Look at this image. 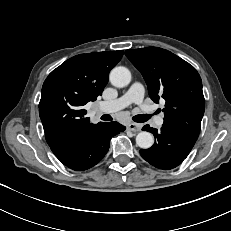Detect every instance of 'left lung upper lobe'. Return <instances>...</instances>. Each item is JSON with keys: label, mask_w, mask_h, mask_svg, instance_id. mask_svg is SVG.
<instances>
[{"label": "left lung upper lobe", "mask_w": 231, "mask_h": 231, "mask_svg": "<svg viewBox=\"0 0 231 231\" xmlns=\"http://www.w3.org/2000/svg\"><path fill=\"white\" fill-rule=\"evenodd\" d=\"M125 55L143 75L150 98L165 99L164 124L197 140L205 110L202 81L196 69L162 48L126 50Z\"/></svg>", "instance_id": "obj_1"}]
</instances>
